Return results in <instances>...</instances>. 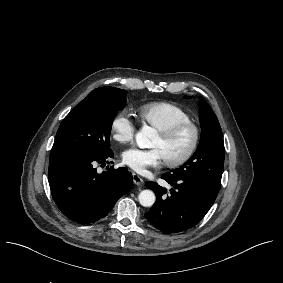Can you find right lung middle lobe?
Returning a JSON list of instances; mask_svg holds the SVG:
<instances>
[{
  "label": "right lung middle lobe",
  "mask_w": 283,
  "mask_h": 283,
  "mask_svg": "<svg viewBox=\"0 0 283 283\" xmlns=\"http://www.w3.org/2000/svg\"><path fill=\"white\" fill-rule=\"evenodd\" d=\"M126 105V91L114 87L93 90L62 121L50 156L73 152L109 154L112 122Z\"/></svg>",
  "instance_id": "dd1d6c3e"
}]
</instances>
